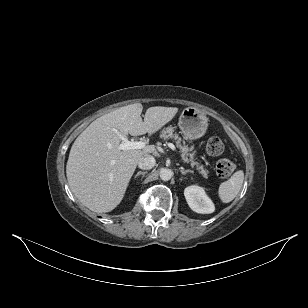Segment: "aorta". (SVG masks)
Masks as SVG:
<instances>
[{
    "mask_svg": "<svg viewBox=\"0 0 308 308\" xmlns=\"http://www.w3.org/2000/svg\"><path fill=\"white\" fill-rule=\"evenodd\" d=\"M173 175V172L171 169L169 168H163L161 169L160 171V178L163 180V181H168L171 179Z\"/></svg>",
    "mask_w": 308,
    "mask_h": 308,
    "instance_id": "762f6f07",
    "label": "aorta"
}]
</instances>
